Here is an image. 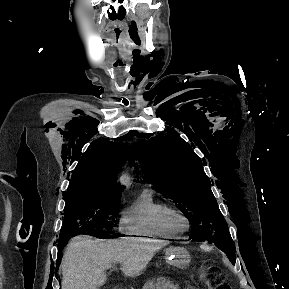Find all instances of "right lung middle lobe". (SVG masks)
Wrapping results in <instances>:
<instances>
[{
  "mask_svg": "<svg viewBox=\"0 0 289 289\" xmlns=\"http://www.w3.org/2000/svg\"><path fill=\"white\" fill-rule=\"evenodd\" d=\"M120 194H104L68 198L59 241L67 243L72 236L85 234L98 238L111 237L114 224L109 216L117 213Z\"/></svg>",
  "mask_w": 289,
  "mask_h": 289,
  "instance_id": "obj_1",
  "label": "right lung middle lobe"
}]
</instances>
